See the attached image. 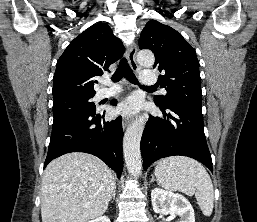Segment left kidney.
<instances>
[{
	"instance_id": "obj_1",
	"label": "left kidney",
	"mask_w": 257,
	"mask_h": 222,
	"mask_svg": "<svg viewBox=\"0 0 257 222\" xmlns=\"http://www.w3.org/2000/svg\"><path fill=\"white\" fill-rule=\"evenodd\" d=\"M151 201L155 213L178 215L179 222H195L193 207L181 194L154 188L151 192Z\"/></svg>"
}]
</instances>
